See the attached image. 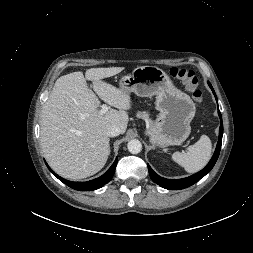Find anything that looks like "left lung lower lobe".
Wrapping results in <instances>:
<instances>
[{"label":"left lung lower lobe","instance_id":"obj_1","mask_svg":"<svg viewBox=\"0 0 253 253\" xmlns=\"http://www.w3.org/2000/svg\"><path fill=\"white\" fill-rule=\"evenodd\" d=\"M210 88L213 91V94L217 100V96L213 90V87L210 83H208ZM218 115L220 117L221 123H220V129H219V140L217 143V147L216 150L214 152L213 157L211 158V160L209 161V163L206 165V167L204 169H202L201 171H199L198 173L187 177V178H183V179H166L163 178L159 175H157L152 169L151 167L148 165V170H149V174L151 179L157 183L158 185H160L163 188L169 189V190H180V189H184L187 188L193 184H195L197 181H199L201 178H203L207 173H209L211 171V169L213 168V166L215 165L219 153H220V149H221V144H222V135H223V124H222V116L221 113L218 109Z\"/></svg>","mask_w":253,"mask_h":253}]
</instances>
